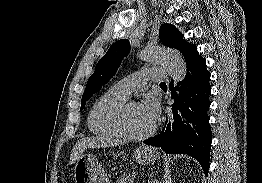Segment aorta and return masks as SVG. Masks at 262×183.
I'll return each instance as SVG.
<instances>
[{
    "instance_id": "obj_1",
    "label": "aorta",
    "mask_w": 262,
    "mask_h": 183,
    "mask_svg": "<svg viewBox=\"0 0 262 183\" xmlns=\"http://www.w3.org/2000/svg\"><path fill=\"white\" fill-rule=\"evenodd\" d=\"M140 57L146 62L163 65L170 77L176 82L182 81L186 76V63L177 51L159 46L146 47L141 51Z\"/></svg>"
}]
</instances>
